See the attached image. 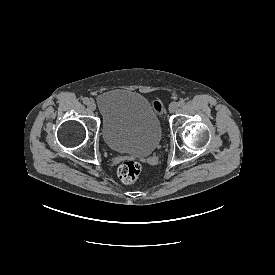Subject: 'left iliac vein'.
<instances>
[{"instance_id": "4c4485c4", "label": "left iliac vein", "mask_w": 275, "mask_h": 275, "mask_svg": "<svg viewBox=\"0 0 275 275\" xmlns=\"http://www.w3.org/2000/svg\"><path fill=\"white\" fill-rule=\"evenodd\" d=\"M177 109H178V103L172 102V103L169 105V111H170V113L176 112Z\"/></svg>"}]
</instances>
